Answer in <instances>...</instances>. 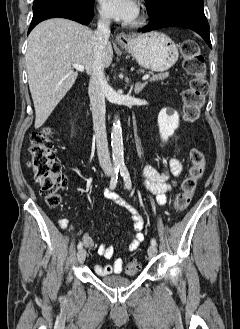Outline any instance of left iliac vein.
Returning <instances> with one entry per match:
<instances>
[{
	"instance_id": "4c4485c4",
	"label": "left iliac vein",
	"mask_w": 240,
	"mask_h": 329,
	"mask_svg": "<svg viewBox=\"0 0 240 329\" xmlns=\"http://www.w3.org/2000/svg\"><path fill=\"white\" fill-rule=\"evenodd\" d=\"M156 253H157V248H156V246L151 245V246L148 248V256H149L150 258H152V257H154V256L156 255Z\"/></svg>"
}]
</instances>
